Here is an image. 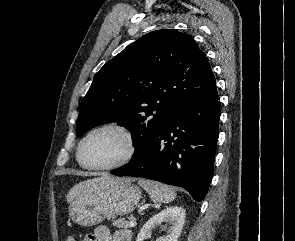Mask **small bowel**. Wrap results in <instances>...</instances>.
Masks as SVG:
<instances>
[{"mask_svg":"<svg viewBox=\"0 0 295 241\" xmlns=\"http://www.w3.org/2000/svg\"><path fill=\"white\" fill-rule=\"evenodd\" d=\"M84 241H131V234L126 230L111 233L105 226H98L92 234L85 236Z\"/></svg>","mask_w":295,"mask_h":241,"instance_id":"c3829d8e","label":"small bowel"}]
</instances>
